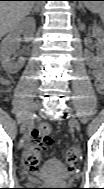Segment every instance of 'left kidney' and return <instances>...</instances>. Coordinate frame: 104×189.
Returning <instances> with one entry per match:
<instances>
[{"instance_id": "obj_1", "label": "left kidney", "mask_w": 104, "mask_h": 189, "mask_svg": "<svg viewBox=\"0 0 104 189\" xmlns=\"http://www.w3.org/2000/svg\"><path fill=\"white\" fill-rule=\"evenodd\" d=\"M93 34L97 38L99 45L102 47L103 46V30L98 26H94ZM86 60L90 66L101 64L103 62V53L93 58L90 55H87Z\"/></svg>"}]
</instances>
